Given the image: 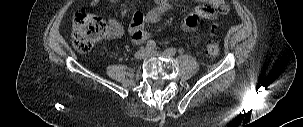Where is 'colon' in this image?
<instances>
[{
  "label": "colon",
  "mask_w": 303,
  "mask_h": 127,
  "mask_svg": "<svg viewBox=\"0 0 303 127\" xmlns=\"http://www.w3.org/2000/svg\"><path fill=\"white\" fill-rule=\"evenodd\" d=\"M218 25L211 23L208 28L209 40L206 44V52L211 58L220 54V49L214 40ZM107 35L105 23L96 15L81 10L76 13L73 23L74 46L80 52H88L101 42Z\"/></svg>",
  "instance_id": "5ec220e1"
}]
</instances>
